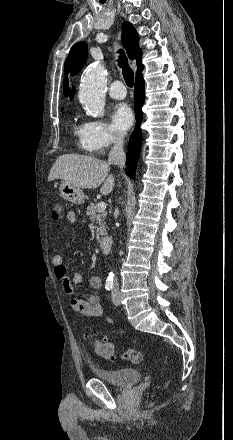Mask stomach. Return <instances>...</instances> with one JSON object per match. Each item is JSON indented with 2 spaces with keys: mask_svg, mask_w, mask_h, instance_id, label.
I'll list each match as a JSON object with an SVG mask.
<instances>
[{
  "mask_svg": "<svg viewBox=\"0 0 233 440\" xmlns=\"http://www.w3.org/2000/svg\"><path fill=\"white\" fill-rule=\"evenodd\" d=\"M60 196L73 204L80 205L85 201L84 192L77 187L68 184L66 181H62L59 186Z\"/></svg>",
  "mask_w": 233,
  "mask_h": 440,
  "instance_id": "stomach-1",
  "label": "stomach"
}]
</instances>
